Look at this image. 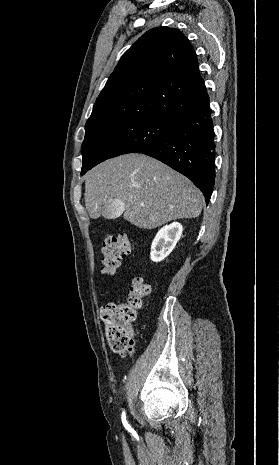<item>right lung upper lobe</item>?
I'll return each instance as SVG.
<instances>
[{"mask_svg": "<svg viewBox=\"0 0 279 465\" xmlns=\"http://www.w3.org/2000/svg\"><path fill=\"white\" fill-rule=\"evenodd\" d=\"M208 99L193 46L179 30L157 27L123 54L85 129L130 118L175 121Z\"/></svg>", "mask_w": 279, "mask_h": 465, "instance_id": "obj_1", "label": "right lung upper lobe"}]
</instances>
